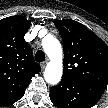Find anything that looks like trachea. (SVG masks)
<instances>
[{
    "mask_svg": "<svg viewBox=\"0 0 108 108\" xmlns=\"http://www.w3.org/2000/svg\"><path fill=\"white\" fill-rule=\"evenodd\" d=\"M35 59L37 62H43L45 60V54L43 51L39 50L35 54Z\"/></svg>",
    "mask_w": 108,
    "mask_h": 108,
    "instance_id": "3493384b",
    "label": "trachea"
}]
</instances>
